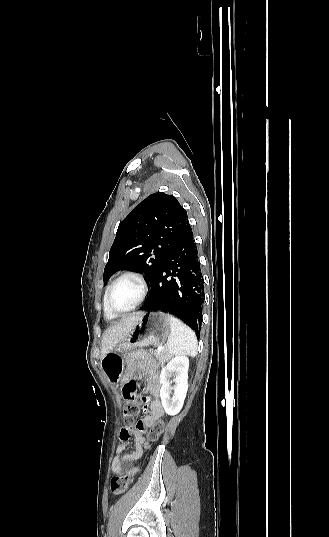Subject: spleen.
Instances as JSON below:
<instances>
[{
    "mask_svg": "<svg viewBox=\"0 0 329 537\" xmlns=\"http://www.w3.org/2000/svg\"><path fill=\"white\" fill-rule=\"evenodd\" d=\"M171 333L166 349L171 355L195 356L197 353V338L195 333L178 318L170 316Z\"/></svg>",
    "mask_w": 329,
    "mask_h": 537,
    "instance_id": "1",
    "label": "spleen"
}]
</instances>
